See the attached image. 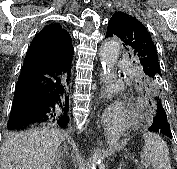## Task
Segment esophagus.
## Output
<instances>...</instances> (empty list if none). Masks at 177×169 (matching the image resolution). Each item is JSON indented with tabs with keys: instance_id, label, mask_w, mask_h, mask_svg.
<instances>
[{
	"instance_id": "obj_1",
	"label": "esophagus",
	"mask_w": 177,
	"mask_h": 169,
	"mask_svg": "<svg viewBox=\"0 0 177 169\" xmlns=\"http://www.w3.org/2000/svg\"><path fill=\"white\" fill-rule=\"evenodd\" d=\"M108 81L105 78H101V84H99L98 92L102 95L101 100H104L103 107H102V117H101V124H104L106 127L111 126V118H110V104L112 97H109L108 92H105L107 89L106 85Z\"/></svg>"
}]
</instances>
